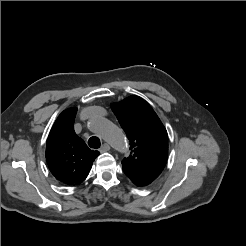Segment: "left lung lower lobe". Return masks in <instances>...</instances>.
Returning a JSON list of instances; mask_svg holds the SVG:
<instances>
[{
	"instance_id": "left-lung-lower-lobe-1",
	"label": "left lung lower lobe",
	"mask_w": 246,
	"mask_h": 246,
	"mask_svg": "<svg viewBox=\"0 0 246 246\" xmlns=\"http://www.w3.org/2000/svg\"><path fill=\"white\" fill-rule=\"evenodd\" d=\"M130 180L137 186H147L148 184H150L149 182H147L146 180L144 179H141L139 177H136V176H133V175H127Z\"/></svg>"
}]
</instances>
